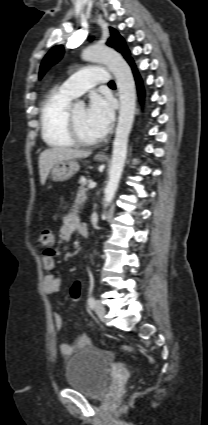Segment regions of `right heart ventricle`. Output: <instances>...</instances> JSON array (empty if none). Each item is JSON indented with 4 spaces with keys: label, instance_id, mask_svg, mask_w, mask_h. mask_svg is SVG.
Listing matches in <instances>:
<instances>
[{
    "label": "right heart ventricle",
    "instance_id": "right-heart-ventricle-1",
    "mask_svg": "<svg viewBox=\"0 0 208 425\" xmlns=\"http://www.w3.org/2000/svg\"><path fill=\"white\" fill-rule=\"evenodd\" d=\"M73 97L62 89L51 91L44 99L40 109L41 135L44 142L52 148H70L75 143L67 126V112Z\"/></svg>",
    "mask_w": 208,
    "mask_h": 425
}]
</instances>
